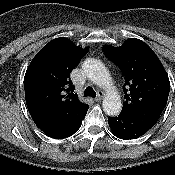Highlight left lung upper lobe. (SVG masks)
Instances as JSON below:
<instances>
[{"label": "left lung upper lobe", "instance_id": "left-lung-upper-lobe-1", "mask_svg": "<svg viewBox=\"0 0 175 175\" xmlns=\"http://www.w3.org/2000/svg\"><path fill=\"white\" fill-rule=\"evenodd\" d=\"M103 52L124 74L123 112L163 111L170 91L169 78L159 58L145 42L129 38L119 48L103 46Z\"/></svg>", "mask_w": 175, "mask_h": 175}]
</instances>
